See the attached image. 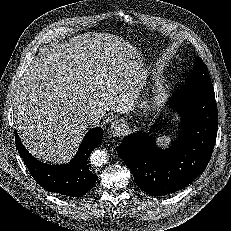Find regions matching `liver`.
Wrapping results in <instances>:
<instances>
[{
    "instance_id": "obj_1",
    "label": "liver",
    "mask_w": 231,
    "mask_h": 231,
    "mask_svg": "<svg viewBox=\"0 0 231 231\" xmlns=\"http://www.w3.org/2000/svg\"><path fill=\"white\" fill-rule=\"evenodd\" d=\"M138 53L122 38L87 32L42 50L23 74L14 97L15 123L28 151L44 162L68 161L88 125L111 110L133 111L141 88Z\"/></svg>"
}]
</instances>
